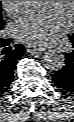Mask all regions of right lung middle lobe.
Returning <instances> with one entry per match:
<instances>
[{
    "label": "right lung middle lobe",
    "instance_id": "dd1d6c3e",
    "mask_svg": "<svg viewBox=\"0 0 74 122\" xmlns=\"http://www.w3.org/2000/svg\"><path fill=\"white\" fill-rule=\"evenodd\" d=\"M0 24H1V16H0ZM0 30H1V26H0Z\"/></svg>",
    "mask_w": 74,
    "mask_h": 122
}]
</instances>
